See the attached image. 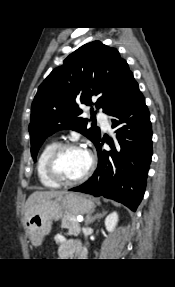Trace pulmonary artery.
Wrapping results in <instances>:
<instances>
[{"instance_id": "pulmonary-artery-1", "label": "pulmonary artery", "mask_w": 175, "mask_h": 287, "mask_svg": "<svg viewBox=\"0 0 175 287\" xmlns=\"http://www.w3.org/2000/svg\"><path fill=\"white\" fill-rule=\"evenodd\" d=\"M99 120H100V122H101V124H102V127L105 129V130H108L109 128H110V122H109V120L105 117V116H103V115H99Z\"/></svg>"}]
</instances>
